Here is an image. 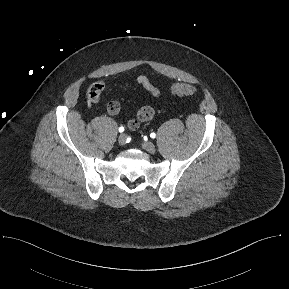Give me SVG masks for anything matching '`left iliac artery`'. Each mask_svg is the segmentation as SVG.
Listing matches in <instances>:
<instances>
[{
	"label": "left iliac artery",
	"mask_w": 289,
	"mask_h": 289,
	"mask_svg": "<svg viewBox=\"0 0 289 289\" xmlns=\"http://www.w3.org/2000/svg\"><path fill=\"white\" fill-rule=\"evenodd\" d=\"M150 137H151V138H155V137H156V134H155L154 132H152V133L150 134Z\"/></svg>",
	"instance_id": "44dca946"
}]
</instances>
